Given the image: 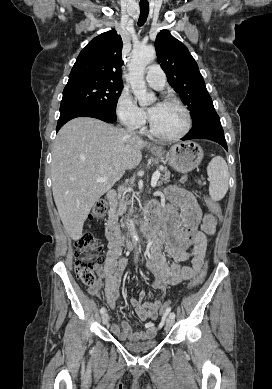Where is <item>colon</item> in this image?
<instances>
[{
  "mask_svg": "<svg viewBox=\"0 0 272 389\" xmlns=\"http://www.w3.org/2000/svg\"><path fill=\"white\" fill-rule=\"evenodd\" d=\"M208 201V206L212 214L219 218L221 215L220 206L211 201ZM107 211V202L104 199L98 200L92 208L90 219H100L104 217ZM103 246L99 239L91 233H84L75 243V270L79 279L88 286H93L97 282L96 271L103 262ZM206 276V268L204 267L200 273L190 282L188 289L193 290L199 287ZM172 304L167 301L161 306V313L167 314L171 310Z\"/></svg>",
  "mask_w": 272,
  "mask_h": 389,
  "instance_id": "5ec220e1",
  "label": "colon"
}]
</instances>
